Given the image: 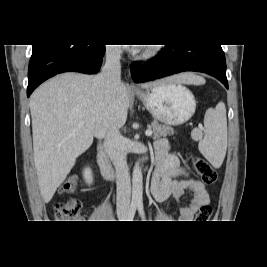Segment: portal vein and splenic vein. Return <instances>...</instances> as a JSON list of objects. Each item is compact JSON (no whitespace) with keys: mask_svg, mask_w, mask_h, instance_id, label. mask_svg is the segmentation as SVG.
Returning a JSON list of instances; mask_svg holds the SVG:
<instances>
[{"mask_svg":"<svg viewBox=\"0 0 267 267\" xmlns=\"http://www.w3.org/2000/svg\"><path fill=\"white\" fill-rule=\"evenodd\" d=\"M84 125V122H80L79 124H78V126H83ZM152 130H150V129H148V130H146V132H145V134H146V136H151L152 135Z\"/></svg>","mask_w":267,"mask_h":267,"instance_id":"1","label":"portal vein and splenic vein"}]
</instances>
